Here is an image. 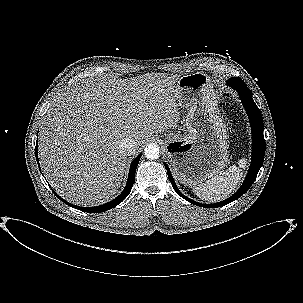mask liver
<instances>
[{
  "instance_id": "liver-1",
  "label": "liver",
  "mask_w": 303,
  "mask_h": 303,
  "mask_svg": "<svg viewBox=\"0 0 303 303\" xmlns=\"http://www.w3.org/2000/svg\"><path fill=\"white\" fill-rule=\"evenodd\" d=\"M179 78L99 74L56 96L43 118L38 144L43 173L55 191L76 205L111 199L127 169L122 140L137 143L134 154L154 133L177 127Z\"/></svg>"
}]
</instances>
